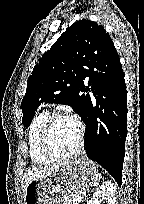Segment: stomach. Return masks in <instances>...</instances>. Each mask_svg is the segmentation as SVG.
<instances>
[{"label":"stomach","instance_id":"stomach-1","mask_svg":"<svg viewBox=\"0 0 144 204\" xmlns=\"http://www.w3.org/2000/svg\"><path fill=\"white\" fill-rule=\"evenodd\" d=\"M98 175L96 163L88 159L62 165L46 177L32 180L25 191L24 204H65L72 194H83Z\"/></svg>","mask_w":144,"mask_h":204}]
</instances>
